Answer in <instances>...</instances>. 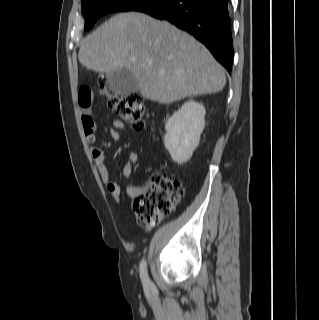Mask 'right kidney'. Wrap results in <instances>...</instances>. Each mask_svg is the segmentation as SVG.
I'll list each match as a JSON object with an SVG mask.
<instances>
[{"mask_svg": "<svg viewBox=\"0 0 319 320\" xmlns=\"http://www.w3.org/2000/svg\"><path fill=\"white\" fill-rule=\"evenodd\" d=\"M205 113L203 104L190 100L166 122L164 144L176 163L188 161L198 147L205 126Z\"/></svg>", "mask_w": 319, "mask_h": 320, "instance_id": "right-kidney-1", "label": "right kidney"}]
</instances>
